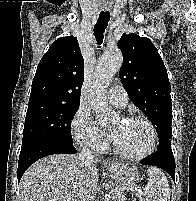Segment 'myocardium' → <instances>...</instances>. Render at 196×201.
<instances>
[{
  "label": "myocardium",
  "instance_id": "1",
  "mask_svg": "<svg viewBox=\"0 0 196 201\" xmlns=\"http://www.w3.org/2000/svg\"><path fill=\"white\" fill-rule=\"evenodd\" d=\"M125 119L127 121L143 122L149 128L150 135H151L150 145L146 151H144L140 154H136V155L128 154L119 147V145L116 143L115 139L111 135V142H112L113 149H114L115 153L122 159L129 160V161L143 160V159L147 158L148 156H150L156 149L157 141H158L156 128L147 117L142 116V115H131V116L125 117Z\"/></svg>",
  "mask_w": 196,
  "mask_h": 201
}]
</instances>
